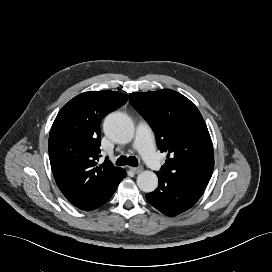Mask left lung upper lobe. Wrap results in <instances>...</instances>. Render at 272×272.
Here are the masks:
<instances>
[{
    "instance_id": "left-lung-upper-lobe-1",
    "label": "left lung upper lobe",
    "mask_w": 272,
    "mask_h": 272,
    "mask_svg": "<svg viewBox=\"0 0 272 272\" xmlns=\"http://www.w3.org/2000/svg\"><path fill=\"white\" fill-rule=\"evenodd\" d=\"M131 105L154 128L161 152H167L163 174L208 184L214 168L210 134L197 107L171 90L131 93Z\"/></svg>"
}]
</instances>
